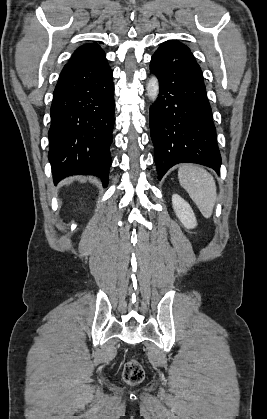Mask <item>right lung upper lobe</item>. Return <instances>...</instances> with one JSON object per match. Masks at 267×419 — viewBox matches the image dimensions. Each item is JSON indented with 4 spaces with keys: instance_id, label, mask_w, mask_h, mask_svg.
<instances>
[{
    "instance_id": "1",
    "label": "right lung upper lobe",
    "mask_w": 267,
    "mask_h": 419,
    "mask_svg": "<svg viewBox=\"0 0 267 419\" xmlns=\"http://www.w3.org/2000/svg\"><path fill=\"white\" fill-rule=\"evenodd\" d=\"M107 61L105 53L101 47L96 44H85L79 47L72 55L68 63H77L84 65H97Z\"/></svg>"
}]
</instances>
